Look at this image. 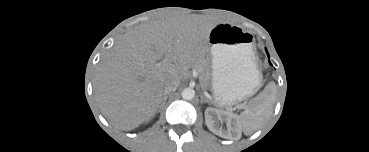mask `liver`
<instances>
[{
    "instance_id": "1",
    "label": "liver",
    "mask_w": 369,
    "mask_h": 152,
    "mask_svg": "<svg viewBox=\"0 0 369 152\" xmlns=\"http://www.w3.org/2000/svg\"><path fill=\"white\" fill-rule=\"evenodd\" d=\"M214 26L172 17L125 33L99 62L95 77L96 100L110 123L128 131L153 117L165 83L188 77L202 59Z\"/></svg>"
}]
</instances>
